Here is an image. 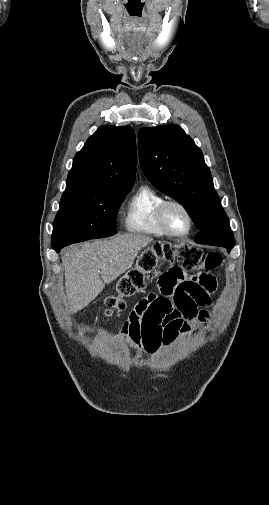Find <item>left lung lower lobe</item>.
<instances>
[{
  "label": "left lung lower lobe",
  "mask_w": 269,
  "mask_h": 505,
  "mask_svg": "<svg viewBox=\"0 0 269 505\" xmlns=\"http://www.w3.org/2000/svg\"><path fill=\"white\" fill-rule=\"evenodd\" d=\"M227 248V251L230 252V250L233 248V247H225Z\"/></svg>",
  "instance_id": "obj_1"
}]
</instances>
